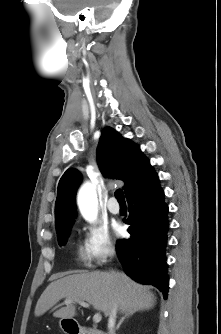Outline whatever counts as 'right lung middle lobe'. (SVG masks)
Wrapping results in <instances>:
<instances>
[{"mask_svg": "<svg viewBox=\"0 0 221 334\" xmlns=\"http://www.w3.org/2000/svg\"><path fill=\"white\" fill-rule=\"evenodd\" d=\"M70 226L57 232L58 242L60 245L65 244L69 236Z\"/></svg>", "mask_w": 221, "mask_h": 334, "instance_id": "obj_1", "label": "right lung middle lobe"}]
</instances>
